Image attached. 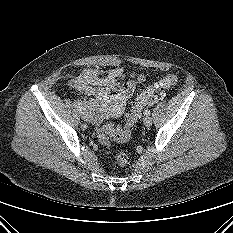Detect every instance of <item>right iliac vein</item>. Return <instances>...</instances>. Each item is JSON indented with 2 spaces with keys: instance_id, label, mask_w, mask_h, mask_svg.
Here are the masks:
<instances>
[{
  "instance_id": "right-iliac-vein-1",
  "label": "right iliac vein",
  "mask_w": 233,
  "mask_h": 233,
  "mask_svg": "<svg viewBox=\"0 0 233 233\" xmlns=\"http://www.w3.org/2000/svg\"><path fill=\"white\" fill-rule=\"evenodd\" d=\"M81 118H82L83 120L88 121V120H89V115H88V113H87V112H81Z\"/></svg>"
}]
</instances>
